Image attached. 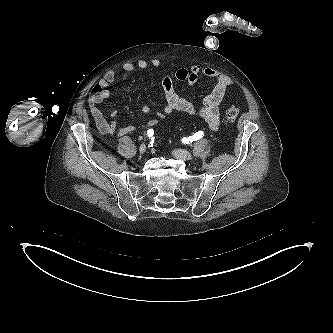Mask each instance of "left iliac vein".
Returning a JSON list of instances; mask_svg holds the SVG:
<instances>
[{"label": "left iliac vein", "instance_id": "1", "mask_svg": "<svg viewBox=\"0 0 333 333\" xmlns=\"http://www.w3.org/2000/svg\"><path fill=\"white\" fill-rule=\"evenodd\" d=\"M173 155L175 158L183 160V161L190 160L192 158V153L187 150H183V149L174 150Z\"/></svg>", "mask_w": 333, "mask_h": 333}]
</instances>
